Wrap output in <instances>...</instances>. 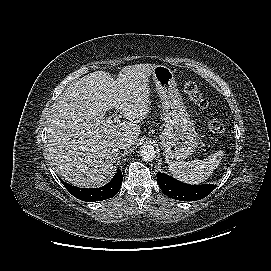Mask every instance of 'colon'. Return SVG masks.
<instances>
[{
  "mask_svg": "<svg viewBox=\"0 0 271 271\" xmlns=\"http://www.w3.org/2000/svg\"><path fill=\"white\" fill-rule=\"evenodd\" d=\"M184 90L186 94L189 96V98L196 103L199 108L202 110H207L209 108V102L206 100L200 90L198 85L193 82V81H188L186 82L184 86ZM209 120H208V129L209 131L214 134V135H220L224 132L225 130V125L224 123L216 118L213 113H209Z\"/></svg>",
  "mask_w": 271,
  "mask_h": 271,
  "instance_id": "5ec220e1",
  "label": "colon"
}]
</instances>
